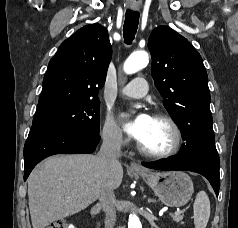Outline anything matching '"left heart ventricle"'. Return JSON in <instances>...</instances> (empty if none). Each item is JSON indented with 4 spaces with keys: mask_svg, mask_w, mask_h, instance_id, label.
Wrapping results in <instances>:
<instances>
[{
    "mask_svg": "<svg viewBox=\"0 0 238 228\" xmlns=\"http://www.w3.org/2000/svg\"><path fill=\"white\" fill-rule=\"evenodd\" d=\"M139 143L148 151H166L173 143L172 129L165 121L152 118Z\"/></svg>",
    "mask_w": 238,
    "mask_h": 228,
    "instance_id": "obj_1",
    "label": "left heart ventricle"
}]
</instances>
